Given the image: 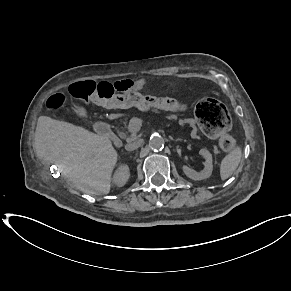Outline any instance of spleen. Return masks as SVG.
Here are the masks:
<instances>
[{"label": "spleen", "instance_id": "spleen-1", "mask_svg": "<svg viewBox=\"0 0 291 291\" xmlns=\"http://www.w3.org/2000/svg\"><path fill=\"white\" fill-rule=\"evenodd\" d=\"M241 158L242 149L240 146H237L222 159L220 164V176L222 180L228 179L235 172Z\"/></svg>", "mask_w": 291, "mask_h": 291}]
</instances>
